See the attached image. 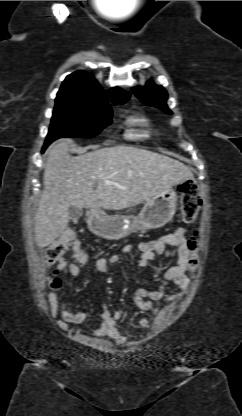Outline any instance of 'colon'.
Masks as SVG:
<instances>
[{
  "label": "colon",
  "mask_w": 242,
  "mask_h": 416,
  "mask_svg": "<svg viewBox=\"0 0 242 416\" xmlns=\"http://www.w3.org/2000/svg\"><path fill=\"white\" fill-rule=\"evenodd\" d=\"M181 217L186 224L194 222L201 206V197L196 182L186 181L181 185ZM188 261L187 265L191 273H195L199 268V241L194 234L187 240ZM71 253L76 261H82L86 253L82 248L81 242L71 231H64L47 249L45 261L49 267L60 263L63 257ZM61 282L54 277L49 281V289L56 291L60 288Z\"/></svg>",
  "instance_id": "5ec220e1"
}]
</instances>
